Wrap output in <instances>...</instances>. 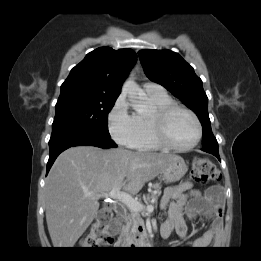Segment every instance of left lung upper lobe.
Listing matches in <instances>:
<instances>
[{"label": "left lung upper lobe", "mask_w": 261, "mask_h": 261, "mask_svg": "<svg viewBox=\"0 0 261 261\" xmlns=\"http://www.w3.org/2000/svg\"><path fill=\"white\" fill-rule=\"evenodd\" d=\"M138 56L146 76L164 86L198 116L203 127L202 146L218 148L208 115V98L194 69L170 50H140Z\"/></svg>", "instance_id": "5c2ea615"}]
</instances>
